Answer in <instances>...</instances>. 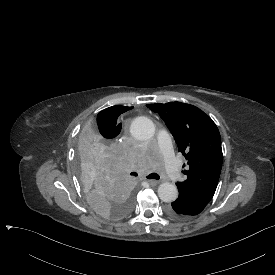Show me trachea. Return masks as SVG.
<instances>
[{"instance_id":"3493384b","label":"trachea","mask_w":275,"mask_h":275,"mask_svg":"<svg viewBox=\"0 0 275 275\" xmlns=\"http://www.w3.org/2000/svg\"><path fill=\"white\" fill-rule=\"evenodd\" d=\"M130 175L138 176V174L136 172H132V173H130ZM146 178H148V179H159V175L156 174V173H151Z\"/></svg>"}]
</instances>
